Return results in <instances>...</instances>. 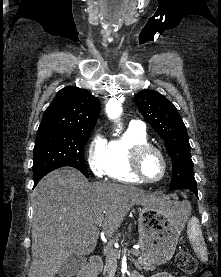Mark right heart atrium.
<instances>
[{"instance_id": "obj_1", "label": "right heart atrium", "mask_w": 221, "mask_h": 277, "mask_svg": "<svg viewBox=\"0 0 221 277\" xmlns=\"http://www.w3.org/2000/svg\"><path fill=\"white\" fill-rule=\"evenodd\" d=\"M107 152V140L98 133L92 139L87 152V160L91 171L96 176H102Z\"/></svg>"}]
</instances>
